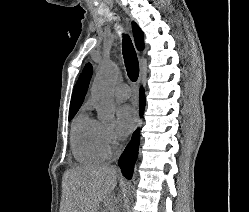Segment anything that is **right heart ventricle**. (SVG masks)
<instances>
[{"instance_id": "obj_1", "label": "right heart ventricle", "mask_w": 249, "mask_h": 212, "mask_svg": "<svg viewBox=\"0 0 249 212\" xmlns=\"http://www.w3.org/2000/svg\"><path fill=\"white\" fill-rule=\"evenodd\" d=\"M100 125L85 113H80L72 122L70 145L74 158L85 164L103 160L98 142Z\"/></svg>"}]
</instances>
